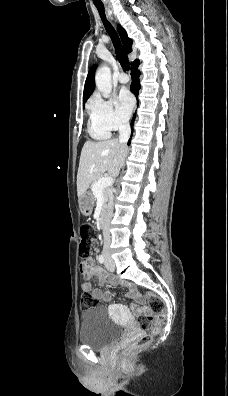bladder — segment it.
I'll list each match as a JSON object with an SVG mask.
<instances>
[{"instance_id": "obj_1", "label": "bladder", "mask_w": 228, "mask_h": 396, "mask_svg": "<svg viewBox=\"0 0 228 396\" xmlns=\"http://www.w3.org/2000/svg\"><path fill=\"white\" fill-rule=\"evenodd\" d=\"M125 328L114 322L104 308L86 310L81 317L79 341L93 350H105L121 339Z\"/></svg>"}]
</instances>
